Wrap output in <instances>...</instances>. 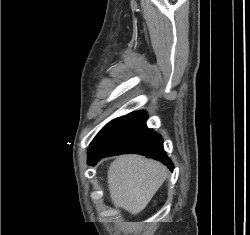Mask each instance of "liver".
<instances>
[{
	"mask_svg": "<svg viewBox=\"0 0 250 235\" xmlns=\"http://www.w3.org/2000/svg\"><path fill=\"white\" fill-rule=\"evenodd\" d=\"M167 169L142 156H120L108 169V188L112 203L131 214L140 213L163 184Z\"/></svg>",
	"mask_w": 250,
	"mask_h": 235,
	"instance_id": "1",
	"label": "liver"
}]
</instances>
